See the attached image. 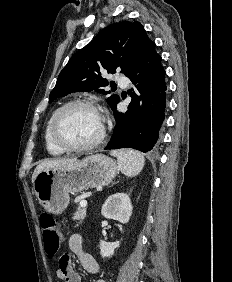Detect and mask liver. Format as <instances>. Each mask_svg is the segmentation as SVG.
Instances as JSON below:
<instances>
[{
	"label": "liver",
	"instance_id": "6515ba94",
	"mask_svg": "<svg viewBox=\"0 0 232 282\" xmlns=\"http://www.w3.org/2000/svg\"><path fill=\"white\" fill-rule=\"evenodd\" d=\"M77 159H58V160H45L40 162L35 168L32 175V183L34 182L36 176L43 170L50 168H55L63 165L73 164Z\"/></svg>",
	"mask_w": 232,
	"mask_h": 282
}]
</instances>
